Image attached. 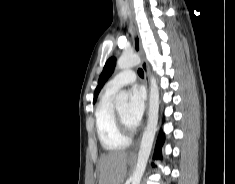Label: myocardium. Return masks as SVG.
<instances>
[{"label": "myocardium", "instance_id": "myocardium-1", "mask_svg": "<svg viewBox=\"0 0 235 184\" xmlns=\"http://www.w3.org/2000/svg\"><path fill=\"white\" fill-rule=\"evenodd\" d=\"M115 118H116L118 130L120 131L122 136L130 140L136 135L137 129L127 126L117 111L115 112Z\"/></svg>", "mask_w": 235, "mask_h": 184}]
</instances>
